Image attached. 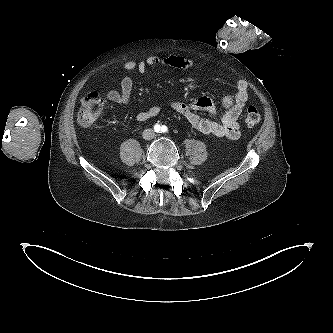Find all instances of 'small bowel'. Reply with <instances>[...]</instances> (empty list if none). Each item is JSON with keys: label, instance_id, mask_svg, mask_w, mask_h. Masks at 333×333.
<instances>
[{"label": "small bowel", "instance_id": "small-bowel-1", "mask_svg": "<svg viewBox=\"0 0 333 333\" xmlns=\"http://www.w3.org/2000/svg\"><path fill=\"white\" fill-rule=\"evenodd\" d=\"M159 65L171 66L177 69H187L193 65V62L190 59L179 56H169L166 58L151 56L140 61H128L123 67L127 71L137 70L144 73L148 68ZM132 91V78L124 76L120 82V88L118 90L108 91L106 97L110 102L126 104L131 98ZM248 98L249 92L247 83L242 80L238 81L235 94L225 96L222 99L224 112L221 115L220 121H213L198 114L199 111H206L213 115L217 113L215 102L208 96H201L190 102L172 100L168 102V106L186 118L187 121L202 134L236 140L240 136L238 118ZM161 111L162 106H152L145 111L139 112L136 115V120L139 122L146 121L157 116Z\"/></svg>", "mask_w": 333, "mask_h": 333}]
</instances>
